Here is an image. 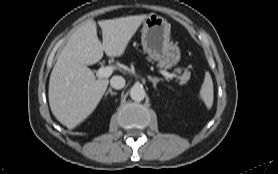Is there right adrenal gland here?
Instances as JSON below:
<instances>
[{"label":"right adrenal gland","instance_id":"2a0ac1e0","mask_svg":"<svg viewBox=\"0 0 278 174\" xmlns=\"http://www.w3.org/2000/svg\"><path fill=\"white\" fill-rule=\"evenodd\" d=\"M109 93H110L112 96L117 94L116 92H113L111 88L108 89V91L105 93V96H107Z\"/></svg>","mask_w":278,"mask_h":174}]
</instances>
